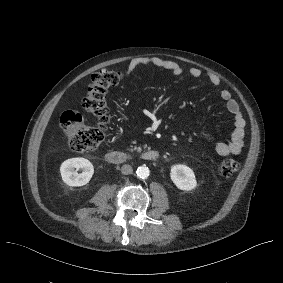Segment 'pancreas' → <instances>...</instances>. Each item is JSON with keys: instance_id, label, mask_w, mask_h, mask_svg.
I'll use <instances>...</instances> for the list:
<instances>
[{"instance_id": "obj_1", "label": "pancreas", "mask_w": 283, "mask_h": 283, "mask_svg": "<svg viewBox=\"0 0 283 283\" xmlns=\"http://www.w3.org/2000/svg\"><path fill=\"white\" fill-rule=\"evenodd\" d=\"M132 144H136V141H132ZM147 148V145H144V149ZM136 150L137 152H141L142 151V148L141 147H137V146H133L131 145L130 148H129V151H134Z\"/></svg>"}]
</instances>
